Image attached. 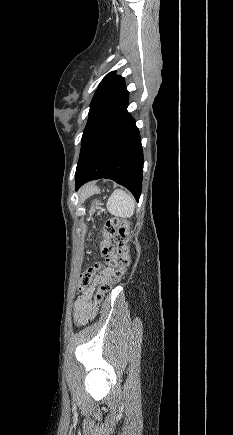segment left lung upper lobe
<instances>
[{
    "label": "left lung upper lobe",
    "mask_w": 233,
    "mask_h": 435,
    "mask_svg": "<svg viewBox=\"0 0 233 435\" xmlns=\"http://www.w3.org/2000/svg\"><path fill=\"white\" fill-rule=\"evenodd\" d=\"M114 73L110 72L104 77L91 101L80 155L108 124L127 112L129 92L124 78Z\"/></svg>",
    "instance_id": "1"
}]
</instances>
